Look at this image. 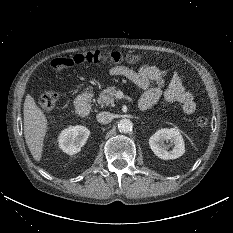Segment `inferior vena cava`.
<instances>
[{"instance_id":"inferior-vena-cava-1","label":"inferior vena cava","mask_w":233,"mask_h":233,"mask_svg":"<svg viewBox=\"0 0 233 233\" xmlns=\"http://www.w3.org/2000/svg\"><path fill=\"white\" fill-rule=\"evenodd\" d=\"M96 118H97V121L99 123H101V124H108V123H110L112 121L113 115L110 112L104 111V112L98 113L97 116H96Z\"/></svg>"}]
</instances>
